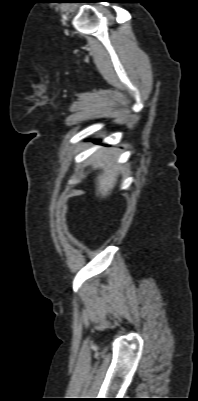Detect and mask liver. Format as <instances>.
Segmentation results:
<instances>
[{"mask_svg":"<svg viewBox=\"0 0 198 401\" xmlns=\"http://www.w3.org/2000/svg\"><path fill=\"white\" fill-rule=\"evenodd\" d=\"M112 162L113 161L102 152H98L95 155L96 166H100L104 169V173L97 178V195H101L103 198L110 193L117 182L118 167L112 165Z\"/></svg>","mask_w":198,"mask_h":401,"instance_id":"1","label":"liver"}]
</instances>
